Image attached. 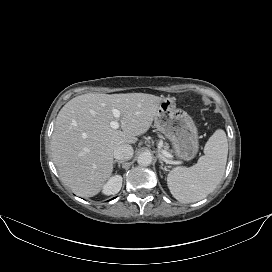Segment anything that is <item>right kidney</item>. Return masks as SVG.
I'll list each match as a JSON object with an SVG mask.
<instances>
[{"instance_id":"1","label":"right kidney","mask_w":272,"mask_h":272,"mask_svg":"<svg viewBox=\"0 0 272 272\" xmlns=\"http://www.w3.org/2000/svg\"><path fill=\"white\" fill-rule=\"evenodd\" d=\"M122 186V177L120 175L112 176L103 186L102 192L105 195L116 194Z\"/></svg>"}]
</instances>
